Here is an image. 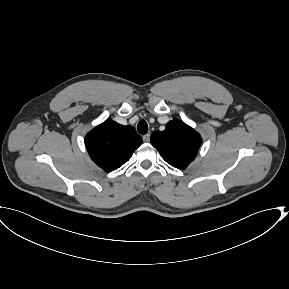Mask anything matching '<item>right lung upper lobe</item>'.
I'll list each match as a JSON object with an SVG mask.
<instances>
[{
	"label": "right lung upper lobe",
	"mask_w": 289,
	"mask_h": 289,
	"mask_svg": "<svg viewBox=\"0 0 289 289\" xmlns=\"http://www.w3.org/2000/svg\"><path fill=\"white\" fill-rule=\"evenodd\" d=\"M142 144V138L131 126L107 120L85 137L91 159L104 171L111 172L126 163Z\"/></svg>",
	"instance_id": "cb5924a9"
}]
</instances>
